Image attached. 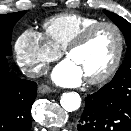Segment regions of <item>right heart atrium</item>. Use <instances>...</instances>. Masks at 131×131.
<instances>
[{"label": "right heart atrium", "instance_id": "1", "mask_svg": "<svg viewBox=\"0 0 131 131\" xmlns=\"http://www.w3.org/2000/svg\"><path fill=\"white\" fill-rule=\"evenodd\" d=\"M14 49L18 64L31 75L42 73L49 63L62 55L42 33L35 30L24 31L17 38Z\"/></svg>", "mask_w": 131, "mask_h": 131}]
</instances>
